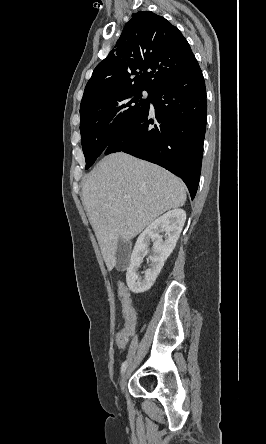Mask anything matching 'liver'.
Wrapping results in <instances>:
<instances>
[{
  "label": "liver",
  "mask_w": 266,
  "mask_h": 444,
  "mask_svg": "<svg viewBox=\"0 0 266 444\" xmlns=\"http://www.w3.org/2000/svg\"><path fill=\"white\" fill-rule=\"evenodd\" d=\"M185 201V186L179 178L123 152L104 157L82 189V202L109 271L116 266L119 239L129 241Z\"/></svg>",
  "instance_id": "1"
}]
</instances>
